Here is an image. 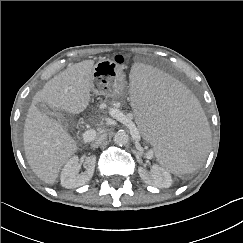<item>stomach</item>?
I'll use <instances>...</instances> for the list:
<instances>
[{"mask_svg": "<svg viewBox=\"0 0 243 243\" xmlns=\"http://www.w3.org/2000/svg\"><path fill=\"white\" fill-rule=\"evenodd\" d=\"M90 88L97 95L122 98L125 90V77L122 69L109 59L97 62L92 72Z\"/></svg>", "mask_w": 243, "mask_h": 243, "instance_id": "obj_1", "label": "stomach"}]
</instances>
